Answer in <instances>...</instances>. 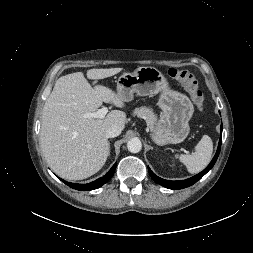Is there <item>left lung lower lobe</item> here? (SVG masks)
Instances as JSON below:
<instances>
[{
    "instance_id": "obj_1",
    "label": "left lung lower lobe",
    "mask_w": 253,
    "mask_h": 253,
    "mask_svg": "<svg viewBox=\"0 0 253 253\" xmlns=\"http://www.w3.org/2000/svg\"><path fill=\"white\" fill-rule=\"evenodd\" d=\"M221 143H222V124H221V136H220V140H219V145H218V148H217L214 158L212 159L210 164L202 172L198 173L197 175H195L191 178H188L186 180H181V181L165 180V179H162V178L156 176L151 171V169L148 167L149 174L152 177L154 182H156L166 188H169V189H183V188L189 187V186L193 185L194 183H196L198 180H200L214 166V164L219 156V153H220Z\"/></svg>"
}]
</instances>
